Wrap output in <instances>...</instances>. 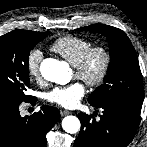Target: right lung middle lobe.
<instances>
[{"label": "right lung middle lobe", "instance_id": "dd1d6c3e", "mask_svg": "<svg viewBox=\"0 0 147 147\" xmlns=\"http://www.w3.org/2000/svg\"><path fill=\"white\" fill-rule=\"evenodd\" d=\"M49 32L16 30L0 37V103L29 101V54Z\"/></svg>", "mask_w": 147, "mask_h": 147}]
</instances>
